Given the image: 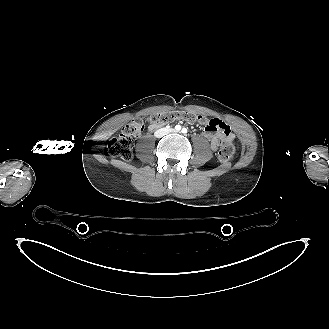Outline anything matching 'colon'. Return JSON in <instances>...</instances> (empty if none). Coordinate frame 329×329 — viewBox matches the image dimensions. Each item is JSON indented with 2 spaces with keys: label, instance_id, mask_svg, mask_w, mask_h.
Returning a JSON list of instances; mask_svg holds the SVG:
<instances>
[{
  "label": "colon",
  "instance_id": "1",
  "mask_svg": "<svg viewBox=\"0 0 329 329\" xmlns=\"http://www.w3.org/2000/svg\"><path fill=\"white\" fill-rule=\"evenodd\" d=\"M177 120H183L189 123L205 124L210 129L209 121L206 117L192 112L185 111H167L150 115L147 118L137 117L126 124L120 133L113 136L107 144L109 155L123 161H130L133 157L132 138L140 135L146 122L153 126H160ZM218 121V120H217ZM218 123H220L218 121ZM236 152V145L232 140H224L219 151L218 158L220 161L229 162Z\"/></svg>",
  "mask_w": 329,
  "mask_h": 329
}]
</instances>
